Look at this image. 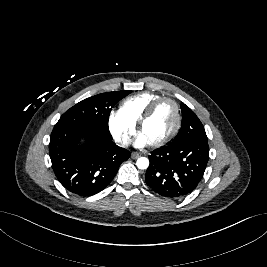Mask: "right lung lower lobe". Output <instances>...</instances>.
Here are the masks:
<instances>
[{"instance_id":"98d812e1","label":"right lung lower lobe","mask_w":267,"mask_h":267,"mask_svg":"<svg viewBox=\"0 0 267 267\" xmlns=\"http://www.w3.org/2000/svg\"><path fill=\"white\" fill-rule=\"evenodd\" d=\"M80 137L86 140L82 146ZM49 155L59 182L71 193L88 197L112 181L130 152L112 142L108 128L55 126Z\"/></svg>"}]
</instances>
